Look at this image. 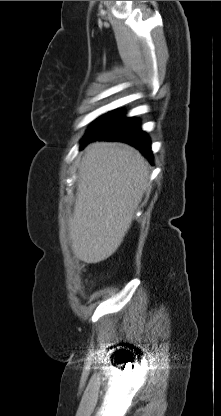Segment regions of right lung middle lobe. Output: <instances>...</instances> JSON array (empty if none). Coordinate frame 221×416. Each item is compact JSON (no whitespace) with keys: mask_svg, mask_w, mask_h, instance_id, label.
<instances>
[{"mask_svg":"<svg viewBox=\"0 0 221 416\" xmlns=\"http://www.w3.org/2000/svg\"><path fill=\"white\" fill-rule=\"evenodd\" d=\"M113 112H109L107 114H105L104 116H102L101 118H99L92 126L91 128L87 131L86 135H89L90 133H92L93 131H95L96 129H98L99 127H101L105 122H107L111 116L113 115ZM85 135V136H86Z\"/></svg>","mask_w":221,"mask_h":416,"instance_id":"right-lung-middle-lobe-1","label":"right lung middle lobe"}]
</instances>
